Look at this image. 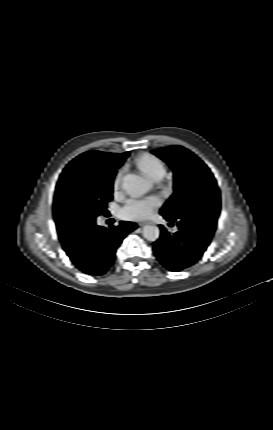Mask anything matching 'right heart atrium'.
<instances>
[{
	"instance_id": "d8ad5b80",
	"label": "right heart atrium",
	"mask_w": 273,
	"mask_h": 430,
	"mask_svg": "<svg viewBox=\"0 0 273 430\" xmlns=\"http://www.w3.org/2000/svg\"><path fill=\"white\" fill-rule=\"evenodd\" d=\"M122 176H123V170H120L114 179V189L117 190L119 189V187L121 186V180H122Z\"/></svg>"
}]
</instances>
